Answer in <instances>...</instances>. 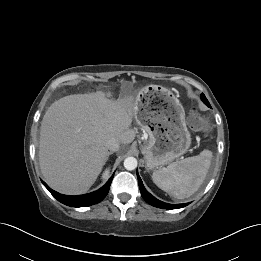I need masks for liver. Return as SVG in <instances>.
I'll use <instances>...</instances> for the list:
<instances>
[{
	"instance_id": "obj_1",
	"label": "liver",
	"mask_w": 261,
	"mask_h": 261,
	"mask_svg": "<svg viewBox=\"0 0 261 261\" xmlns=\"http://www.w3.org/2000/svg\"><path fill=\"white\" fill-rule=\"evenodd\" d=\"M133 98L113 101L99 91L74 94L55 101L40 128L39 163L47 184L69 195L89 190L107 161L105 143L116 138L131 143L135 112Z\"/></svg>"
}]
</instances>
